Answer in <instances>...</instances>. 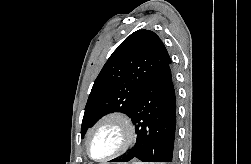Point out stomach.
Masks as SVG:
<instances>
[{
    "label": "stomach",
    "mask_w": 251,
    "mask_h": 164,
    "mask_svg": "<svg viewBox=\"0 0 251 164\" xmlns=\"http://www.w3.org/2000/svg\"><path fill=\"white\" fill-rule=\"evenodd\" d=\"M132 164H137V163H136V162H133ZM138 164H142V163L139 162Z\"/></svg>",
    "instance_id": "stomach-1"
}]
</instances>
